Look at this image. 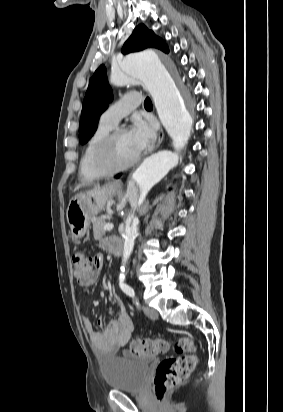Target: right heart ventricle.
Segmentation results:
<instances>
[{"label": "right heart ventricle", "instance_id": "1", "mask_svg": "<svg viewBox=\"0 0 283 412\" xmlns=\"http://www.w3.org/2000/svg\"><path fill=\"white\" fill-rule=\"evenodd\" d=\"M113 128L99 122L97 128L89 136L83 148L79 162V177L83 181L98 178L102 173L95 163V157L99 146Z\"/></svg>", "mask_w": 283, "mask_h": 412}]
</instances>
